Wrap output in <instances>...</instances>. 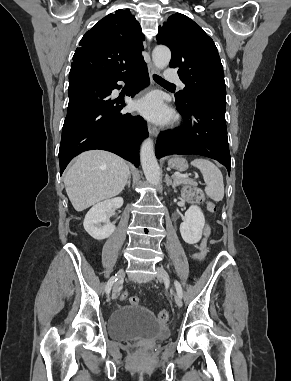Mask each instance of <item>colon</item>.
Here are the masks:
<instances>
[{
	"instance_id": "obj_1",
	"label": "colon",
	"mask_w": 291,
	"mask_h": 381,
	"mask_svg": "<svg viewBox=\"0 0 291 381\" xmlns=\"http://www.w3.org/2000/svg\"><path fill=\"white\" fill-rule=\"evenodd\" d=\"M183 196L190 202L196 203L204 199L203 191L195 185H187L183 188ZM208 208L211 212L216 211V205L213 202L208 203ZM121 300H128L133 305H139L140 300L137 296H129L127 292H122ZM170 314L167 310H161L157 314V319L161 323H166L169 320Z\"/></svg>"
}]
</instances>
